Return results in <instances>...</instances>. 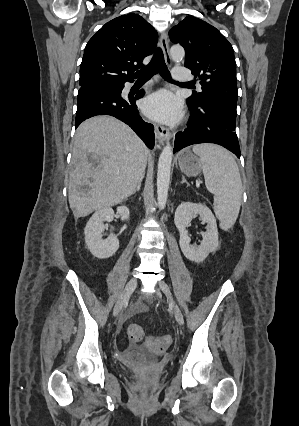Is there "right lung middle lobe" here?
Masks as SVG:
<instances>
[{"mask_svg": "<svg viewBox=\"0 0 299 426\" xmlns=\"http://www.w3.org/2000/svg\"><path fill=\"white\" fill-rule=\"evenodd\" d=\"M120 86V85H119ZM107 87H118V86H107Z\"/></svg>", "mask_w": 299, "mask_h": 426, "instance_id": "right-lung-middle-lobe-1", "label": "right lung middle lobe"}]
</instances>
